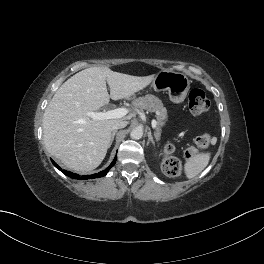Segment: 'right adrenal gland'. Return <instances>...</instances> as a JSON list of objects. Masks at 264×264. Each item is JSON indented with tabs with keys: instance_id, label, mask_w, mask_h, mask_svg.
Here are the masks:
<instances>
[{
	"instance_id": "2a0ac1e0",
	"label": "right adrenal gland",
	"mask_w": 264,
	"mask_h": 264,
	"mask_svg": "<svg viewBox=\"0 0 264 264\" xmlns=\"http://www.w3.org/2000/svg\"><path fill=\"white\" fill-rule=\"evenodd\" d=\"M117 133V130H114L113 132H112V136H111V141H110V146H111V144H112V142H113V140H114V137H115V134Z\"/></svg>"
}]
</instances>
